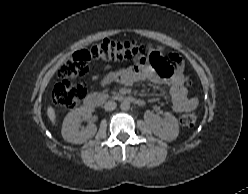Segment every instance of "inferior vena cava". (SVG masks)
I'll return each instance as SVG.
<instances>
[{"label": "inferior vena cava", "instance_id": "obj_1", "mask_svg": "<svg viewBox=\"0 0 248 194\" xmlns=\"http://www.w3.org/2000/svg\"><path fill=\"white\" fill-rule=\"evenodd\" d=\"M116 107H117V104L114 101H108L104 105V109L107 111H112L116 109Z\"/></svg>", "mask_w": 248, "mask_h": 194}]
</instances>
